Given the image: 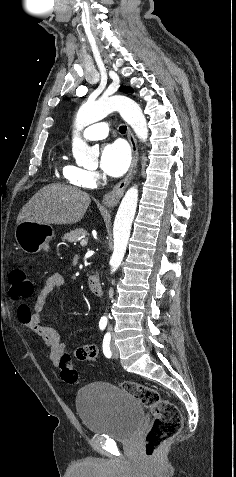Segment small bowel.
<instances>
[{"label": "small bowel", "instance_id": "obj_1", "mask_svg": "<svg viewBox=\"0 0 236 477\" xmlns=\"http://www.w3.org/2000/svg\"><path fill=\"white\" fill-rule=\"evenodd\" d=\"M64 282V277L61 274L51 275L39 291L33 307L22 312L18 310V317L23 325L43 339L49 350V360L55 367L60 366L61 356L67 352V347L61 342L58 333L52 327L42 323V313L48 300ZM90 347L94 356H97L98 348L95 345H90Z\"/></svg>", "mask_w": 236, "mask_h": 477}]
</instances>
